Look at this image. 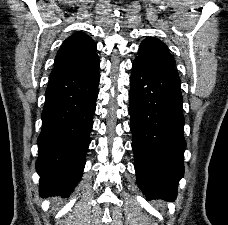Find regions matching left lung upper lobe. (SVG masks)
I'll return each instance as SVG.
<instances>
[{
	"label": "left lung upper lobe",
	"instance_id": "1",
	"mask_svg": "<svg viewBox=\"0 0 228 225\" xmlns=\"http://www.w3.org/2000/svg\"><path fill=\"white\" fill-rule=\"evenodd\" d=\"M136 58L157 67L175 68L173 56L169 53L167 46L157 38L148 37L144 39Z\"/></svg>",
	"mask_w": 228,
	"mask_h": 225
}]
</instances>
